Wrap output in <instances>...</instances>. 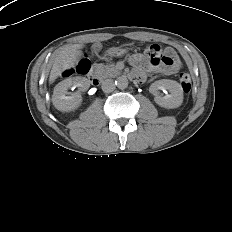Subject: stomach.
Wrapping results in <instances>:
<instances>
[{
  "instance_id": "1",
  "label": "stomach",
  "mask_w": 232,
  "mask_h": 232,
  "mask_svg": "<svg viewBox=\"0 0 232 232\" xmlns=\"http://www.w3.org/2000/svg\"><path fill=\"white\" fill-rule=\"evenodd\" d=\"M127 53L125 49L112 47L107 50V55L110 57H122Z\"/></svg>"
}]
</instances>
